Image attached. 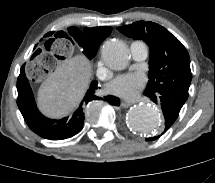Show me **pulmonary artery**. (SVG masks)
<instances>
[{
    "instance_id": "e3ab8cb5",
    "label": "pulmonary artery",
    "mask_w": 215,
    "mask_h": 183,
    "mask_svg": "<svg viewBox=\"0 0 215 183\" xmlns=\"http://www.w3.org/2000/svg\"><path fill=\"white\" fill-rule=\"evenodd\" d=\"M130 53L135 61H143L148 57L149 47L142 41H133L130 44Z\"/></svg>"
}]
</instances>
